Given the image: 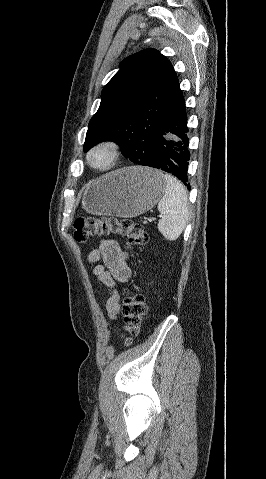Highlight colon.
<instances>
[{"mask_svg": "<svg viewBox=\"0 0 266 479\" xmlns=\"http://www.w3.org/2000/svg\"><path fill=\"white\" fill-rule=\"evenodd\" d=\"M74 240L85 243L97 237L120 235L126 239L128 248L143 247L148 235L141 223L130 219L119 220L113 217H77L73 222ZM147 304L145 297L140 292L126 290L123 299V321L125 334L121 336L124 344L129 345L136 336L145 320Z\"/></svg>", "mask_w": 266, "mask_h": 479, "instance_id": "1", "label": "colon"}]
</instances>
